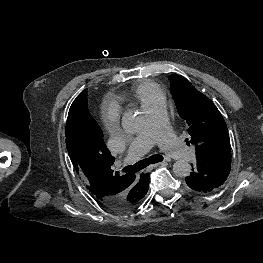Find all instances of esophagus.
Here are the masks:
<instances>
[{
    "mask_svg": "<svg viewBox=\"0 0 263 263\" xmlns=\"http://www.w3.org/2000/svg\"><path fill=\"white\" fill-rule=\"evenodd\" d=\"M167 164V162H160V163H156V164H151V165H149L148 167H147V171H151V170H153L154 168H156V167H158V166H164V165H166Z\"/></svg>",
    "mask_w": 263,
    "mask_h": 263,
    "instance_id": "obj_1",
    "label": "esophagus"
}]
</instances>
